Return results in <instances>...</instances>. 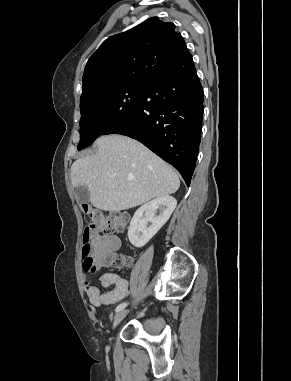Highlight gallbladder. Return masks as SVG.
Segmentation results:
<instances>
[{"label":"gallbladder","mask_w":291,"mask_h":381,"mask_svg":"<svg viewBox=\"0 0 291 381\" xmlns=\"http://www.w3.org/2000/svg\"><path fill=\"white\" fill-rule=\"evenodd\" d=\"M75 197L80 204H88L90 202V194L86 186L76 187Z\"/></svg>","instance_id":"1"}]
</instances>
